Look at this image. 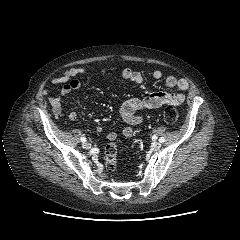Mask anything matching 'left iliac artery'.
Here are the masks:
<instances>
[{
    "mask_svg": "<svg viewBox=\"0 0 240 240\" xmlns=\"http://www.w3.org/2000/svg\"><path fill=\"white\" fill-rule=\"evenodd\" d=\"M165 141V139L163 138V137H161L160 139H159V142L160 143H163Z\"/></svg>",
    "mask_w": 240,
    "mask_h": 240,
    "instance_id": "obj_1",
    "label": "left iliac artery"
}]
</instances>
